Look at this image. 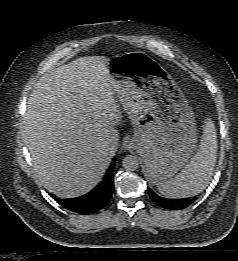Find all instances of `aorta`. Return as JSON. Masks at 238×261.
Listing matches in <instances>:
<instances>
[{
  "mask_svg": "<svg viewBox=\"0 0 238 261\" xmlns=\"http://www.w3.org/2000/svg\"><path fill=\"white\" fill-rule=\"evenodd\" d=\"M122 165L127 171H135L139 167V160L133 155H127L122 161Z\"/></svg>",
  "mask_w": 238,
  "mask_h": 261,
  "instance_id": "aorta-1",
  "label": "aorta"
}]
</instances>
